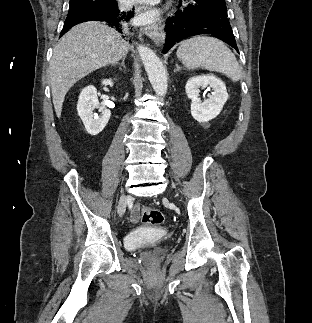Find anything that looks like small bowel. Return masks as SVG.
<instances>
[{
	"label": "small bowel",
	"mask_w": 312,
	"mask_h": 323,
	"mask_svg": "<svg viewBox=\"0 0 312 323\" xmlns=\"http://www.w3.org/2000/svg\"><path fill=\"white\" fill-rule=\"evenodd\" d=\"M130 219L132 222H138L140 219V211H139V206L135 205L130 213Z\"/></svg>",
	"instance_id": "c3829d8e"
}]
</instances>
